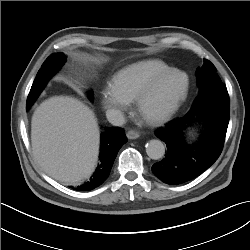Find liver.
<instances>
[{
  "label": "liver",
  "instance_id": "1",
  "mask_svg": "<svg viewBox=\"0 0 250 250\" xmlns=\"http://www.w3.org/2000/svg\"><path fill=\"white\" fill-rule=\"evenodd\" d=\"M99 141L94 112L74 97H51L34 111V156L45 173L61 183L73 185L90 177L98 160Z\"/></svg>",
  "mask_w": 250,
  "mask_h": 250
}]
</instances>
